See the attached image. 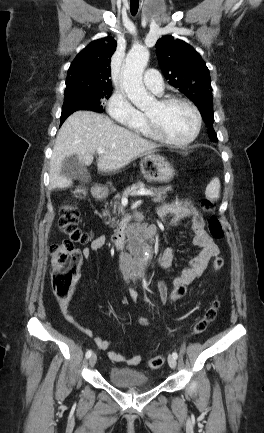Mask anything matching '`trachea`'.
Instances as JSON below:
<instances>
[{"mask_svg": "<svg viewBox=\"0 0 264 433\" xmlns=\"http://www.w3.org/2000/svg\"><path fill=\"white\" fill-rule=\"evenodd\" d=\"M139 1L138 0H130V12L133 16H135L138 12Z\"/></svg>", "mask_w": 264, "mask_h": 433, "instance_id": "obj_1", "label": "trachea"}]
</instances>
